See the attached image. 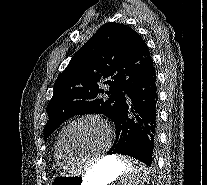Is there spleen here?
<instances>
[{
  "label": "spleen",
  "instance_id": "1",
  "mask_svg": "<svg viewBox=\"0 0 207 185\" xmlns=\"http://www.w3.org/2000/svg\"><path fill=\"white\" fill-rule=\"evenodd\" d=\"M119 163H123L121 174V185H143L146 179H154V174H149V166H144L141 159L119 158Z\"/></svg>",
  "mask_w": 207,
  "mask_h": 185
}]
</instances>
